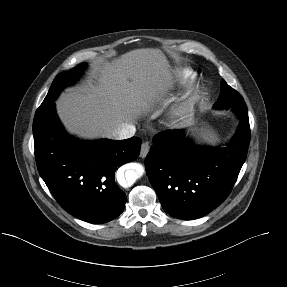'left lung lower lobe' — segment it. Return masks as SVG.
Returning <instances> with one entry per match:
<instances>
[{
  "label": "left lung lower lobe",
  "instance_id": "obj_1",
  "mask_svg": "<svg viewBox=\"0 0 287 287\" xmlns=\"http://www.w3.org/2000/svg\"><path fill=\"white\" fill-rule=\"evenodd\" d=\"M236 113L238 130L223 148L195 145L179 130L154 136L145 166L166 213L192 220L210 213L226 199L250 142L247 108Z\"/></svg>",
  "mask_w": 287,
  "mask_h": 287
}]
</instances>
